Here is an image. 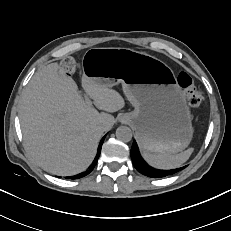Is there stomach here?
Here are the masks:
<instances>
[{"label": "stomach", "instance_id": "1", "mask_svg": "<svg viewBox=\"0 0 231 231\" xmlns=\"http://www.w3.org/2000/svg\"><path fill=\"white\" fill-rule=\"evenodd\" d=\"M83 73L108 87L122 84L134 111L120 121L131 125L145 152L173 155L187 148L192 117L182 88L164 62L127 48H94L83 58Z\"/></svg>", "mask_w": 231, "mask_h": 231}]
</instances>
